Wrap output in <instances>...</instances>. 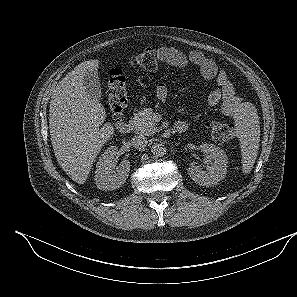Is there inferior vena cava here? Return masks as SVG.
<instances>
[{
  "instance_id": "1",
  "label": "inferior vena cava",
  "mask_w": 297,
  "mask_h": 297,
  "mask_svg": "<svg viewBox=\"0 0 297 297\" xmlns=\"http://www.w3.org/2000/svg\"><path fill=\"white\" fill-rule=\"evenodd\" d=\"M147 139L145 136L143 135H136L132 138V145L136 148V149H144L147 146Z\"/></svg>"
}]
</instances>
